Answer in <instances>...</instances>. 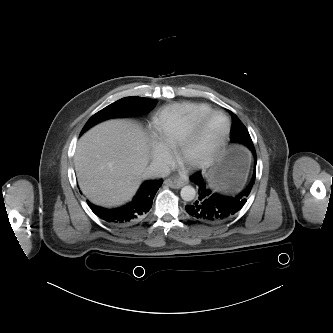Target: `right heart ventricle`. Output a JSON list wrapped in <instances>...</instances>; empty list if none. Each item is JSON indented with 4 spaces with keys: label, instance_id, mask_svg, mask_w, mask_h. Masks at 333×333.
I'll return each mask as SVG.
<instances>
[{
    "label": "right heart ventricle",
    "instance_id": "right-heart-ventricle-1",
    "mask_svg": "<svg viewBox=\"0 0 333 333\" xmlns=\"http://www.w3.org/2000/svg\"><path fill=\"white\" fill-rule=\"evenodd\" d=\"M212 107L199 102L176 103L162 108L154 117V137L167 149H175L191 125L212 111Z\"/></svg>",
    "mask_w": 333,
    "mask_h": 333
}]
</instances>
